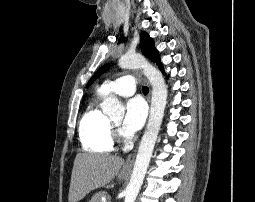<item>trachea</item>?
Here are the masks:
<instances>
[{"instance_id":"3493384b","label":"trachea","mask_w":255,"mask_h":202,"mask_svg":"<svg viewBox=\"0 0 255 202\" xmlns=\"http://www.w3.org/2000/svg\"><path fill=\"white\" fill-rule=\"evenodd\" d=\"M142 91L144 94H147L149 92V89H148V87L144 86Z\"/></svg>"}]
</instances>
